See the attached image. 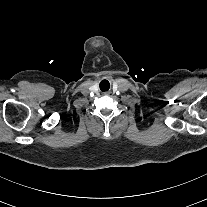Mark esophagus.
Returning a JSON list of instances; mask_svg holds the SVG:
<instances>
[{"instance_id":"obj_1","label":"esophagus","mask_w":207,"mask_h":207,"mask_svg":"<svg viewBox=\"0 0 207 207\" xmlns=\"http://www.w3.org/2000/svg\"><path fill=\"white\" fill-rule=\"evenodd\" d=\"M105 95H110L111 92L110 91H107V92H104Z\"/></svg>"}]
</instances>
